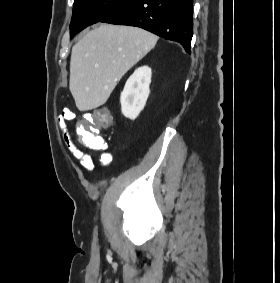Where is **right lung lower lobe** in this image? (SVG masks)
<instances>
[{"label": "right lung lower lobe", "instance_id": "obj_1", "mask_svg": "<svg viewBox=\"0 0 280 283\" xmlns=\"http://www.w3.org/2000/svg\"><path fill=\"white\" fill-rule=\"evenodd\" d=\"M192 5L193 0H132L101 22L143 28L180 43L190 53Z\"/></svg>", "mask_w": 280, "mask_h": 283}]
</instances>
